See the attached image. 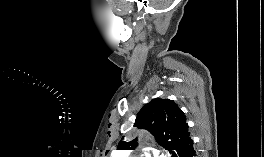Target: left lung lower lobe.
Masks as SVG:
<instances>
[{
  "label": "left lung lower lobe",
  "instance_id": "0a47b994",
  "mask_svg": "<svg viewBox=\"0 0 264 157\" xmlns=\"http://www.w3.org/2000/svg\"><path fill=\"white\" fill-rule=\"evenodd\" d=\"M174 157H197L196 150L193 146V140L189 138L175 152Z\"/></svg>",
  "mask_w": 264,
  "mask_h": 157
}]
</instances>
